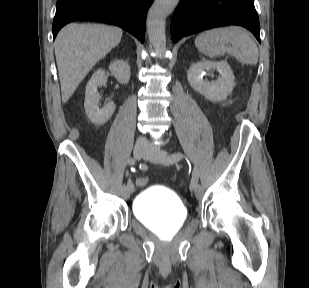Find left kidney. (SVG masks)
I'll return each mask as SVG.
<instances>
[{"mask_svg": "<svg viewBox=\"0 0 309 288\" xmlns=\"http://www.w3.org/2000/svg\"><path fill=\"white\" fill-rule=\"evenodd\" d=\"M211 69H217L220 73V77L214 82L203 79L204 71ZM187 79L194 90L213 102L225 100L235 86L233 71L226 61L202 60L196 62L189 68Z\"/></svg>", "mask_w": 309, "mask_h": 288, "instance_id": "5707ae66", "label": "left kidney"}]
</instances>
